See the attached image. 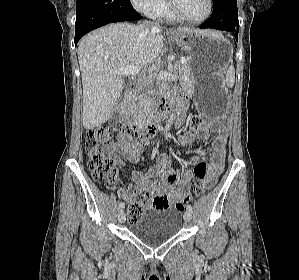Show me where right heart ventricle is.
<instances>
[{
  "mask_svg": "<svg viewBox=\"0 0 299 280\" xmlns=\"http://www.w3.org/2000/svg\"><path fill=\"white\" fill-rule=\"evenodd\" d=\"M152 16L166 21L178 20L169 10L166 0L161 1L160 5L153 12Z\"/></svg>",
  "mask_w": 299,
  "mask_h": 280,
  "instance_id": "right-heart-ventricle-1",
  "label": "right heart ventricle"
}]
</instances>
